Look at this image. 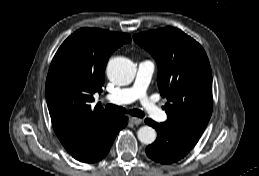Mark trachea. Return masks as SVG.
<instances>
[{
  "mask_svg": "<svg viewBox=\"0 0 259 176\" xmlns=\"http://www.w3.org/2000/svg\"><path fill=\"white\" fill-rule=\"evenodd\" d=\"M105 108L109 112H113V113H121V114L127 113V110L125 108L115 106V105H112V104H107L105 106ZM129 114L132 115V116H136V117H144L145 116V113L141 110H138V109L129 110Z\"/></svg>",
  "mask_w": 259,
  "mask_h": 176,
  "instance_id": "obj_1",
  "label": "trachea"
}]
</instances>
